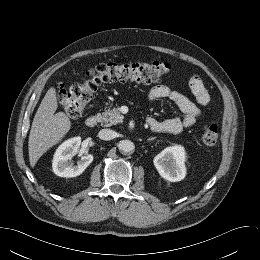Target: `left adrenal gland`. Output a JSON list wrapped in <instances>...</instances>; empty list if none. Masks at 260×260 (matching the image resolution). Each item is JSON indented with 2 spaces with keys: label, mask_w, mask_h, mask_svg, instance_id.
<instances>
[{
  "label": "left adrenal gland",
  "mask_w": 260,
  "mask_h": 260,
  "mask_svg": "<svg viewBox=\"0 0 260 260\" xmlns=\"http://www.w3.org/2000/svg\"><path fill=\"white\" fill-rule=\"evenodd\" d=\"M154 139H155V137H152V138H149L148 141H152V140H154Z\"/></svg>",
  "instance_id": "1"
}]
</instances>
